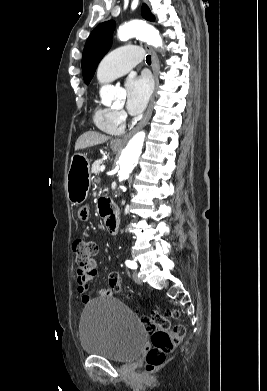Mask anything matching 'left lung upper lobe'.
Returning a JSON list of instances; mask_svg holds the SVG:
<instances>
[{
  "instance_id": "5c2ea615",
  "label": "left lung upper lobe",
  "mask_w": 267,
  "mask_h": 391,
  "mask_svg": "<svg viewBox=\"0 0 267 391\" xmlns=\"http://www.w3.org/2000/svg\"><path fill=\"white\" fill-rule=\"evenodd\" d=\"M142 16L149 21H154V16L146 5L142 7ZM114 28V21L103 22L89 36L82 56V73L86 84L91 81L99 61L109 50Z\"/></svg>"
}]
</instances>
